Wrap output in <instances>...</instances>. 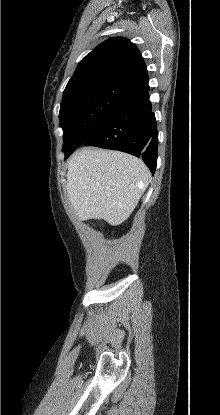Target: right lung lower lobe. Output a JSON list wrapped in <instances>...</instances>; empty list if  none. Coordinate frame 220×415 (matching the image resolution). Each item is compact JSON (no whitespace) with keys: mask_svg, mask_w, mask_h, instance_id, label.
Wrapping results in <instances>:
<instances>
[{"mask_svg":"<svg viewBox=\"0 0 220 415\" xmlns=\"http://www.w3.org/2000/svg\"><path fill=\"white\" fill-rule=\"evenodd\" d=\"M148 83L118 105L85 143L141 157L152 174L157 164L158 132ZM76 148L63 149L65 159Z\"/></svg>","mask_w":220,"mask_h":415,"instance_id":"98d812e1","label":"right lung lower lobe"}]
</instances>
